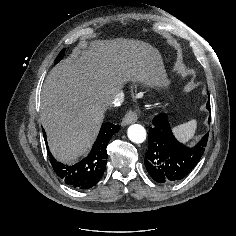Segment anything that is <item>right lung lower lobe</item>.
Returning a JSON list of instances; mask_svg holds the SVG:
<instances>
[{"instance_id":"1","label":"right lung lower lobe","mask_w":236,"mask_h":236,"mask_svg":"<svg viewBox=\"0 0 236 236\" xmlns=\"http://www.w3.org/2000/svg\"><path fill=\"white\" fill-rule=\"evenodd\" d=\"M118 131L119 125H114L112 123L102 124L99 135L89 155L71 166L56 161L48 151L54 171L67 185L75 189H89L93 187L101 179L104 173L108 157L106 151L108 142ZM43 134L44 139L46 140L44 130Z\"/></svg>"}]
</instances>
